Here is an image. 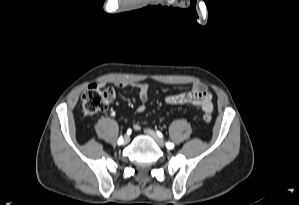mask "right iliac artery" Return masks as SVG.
<instances>
[{"label":"right iliac artery","mask_w":299,"mask_h":205,"mask_svg":"<svg viewBox=\"0 0 299 205\" xmlns=\"http://www.w3.org/2000/svg\"><path fill=\"white\" fill-rule=\"evenodd\" d=\"M123 142V137L121 136L119 139H118V144H122Z\"/></svg>","instance_id":"1"}]
</instances>
